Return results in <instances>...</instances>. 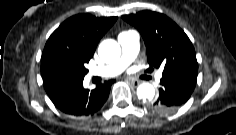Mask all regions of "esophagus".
<instances>
[{
  "label": "esophagus",
  "instance_id": "obj_1",
  "mask_svg": "<svg viewBox=\"0 0 236 135\" xmlns=\"http://www.w3.org/2000/svg\"><path fill=\"white\" fill-rule=\"evenodd\" d=\"M127 81L131 86H134V87H137L140 84V82L138 80H135L132 78L127 79Z\"/></svg>",
  "mask_w": 236,
  "mask_h": 135
}]
</instances>
